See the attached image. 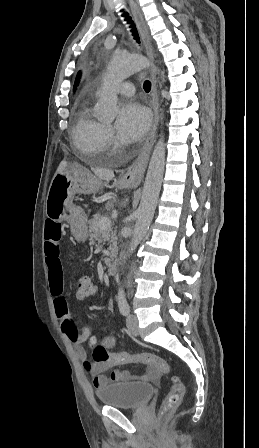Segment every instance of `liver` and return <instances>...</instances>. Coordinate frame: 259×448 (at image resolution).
I'll return each instance as SVG.
<instances>
[{
  "label": "liver",
  "instance_id": "1",
  "mask_svg": "<svg viewBox=\"0 0 259 448\" xmlns=\"http://www.w3.org/2000/svg\"><path fill=\"white\" fill-rule=\"evenodd\" d=\"M65 168H66V164H64V162H62V164H60L57 172L58 174H63V172H65Z\"/></svg>",
  "mask_w": 259,
  "mask_h": 448
}]
</instances>
